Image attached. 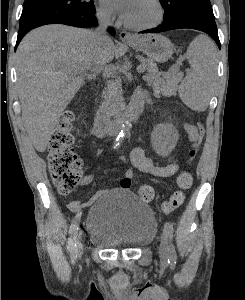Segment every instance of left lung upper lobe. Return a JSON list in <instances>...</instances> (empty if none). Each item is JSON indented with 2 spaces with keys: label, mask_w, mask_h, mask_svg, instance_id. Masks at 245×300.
Here are the masks:
<instances>
[{
  "label": "left lung upper lobe",
  "mask_w": 245,
  "mask_h": 300,
  "mask_svg": "<svg viewBox=\"0 0 245 300\" xmlns=\"http://www.w3.org/2000/svg\"><path fill=\"white\" fill-rule=\"evenodd\" d=\"M165 15L164 22L181 12H193L215 18L210 0H160Z\"/></svg>",
  "instance_id": "obj_1"
}]
</instances>
